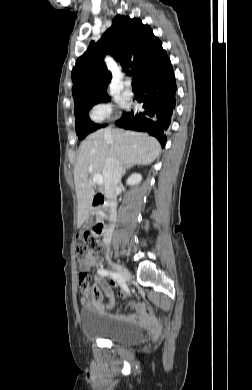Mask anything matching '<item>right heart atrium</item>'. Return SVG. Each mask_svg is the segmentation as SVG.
I'll use <instances>...</instances> for the list:
<instances>
[{
  "instance_id": "right-heart-atrium-1",
  "label": "right heart atrium",
  "mask_w": 252,
  "mask_h": 390,
  "mask_svg": "<svg viewBox=\"0 0 252 390\" xmlns=\"http://www.w3.org/2000/svg\"><path fill=\"white\" fill-rule=\"evenodd\" d=\"M113 113V107L110 103L99 102L92 106L89 116L95 123H101L110 118Z\"/></svg>"
}]
</instances>
